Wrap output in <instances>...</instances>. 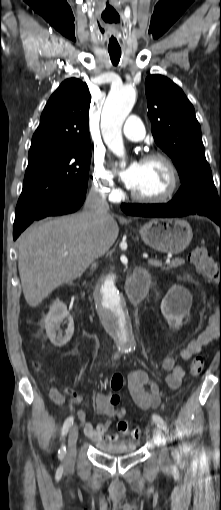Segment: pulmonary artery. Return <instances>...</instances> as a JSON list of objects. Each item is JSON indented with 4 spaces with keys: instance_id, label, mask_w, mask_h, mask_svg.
I'll return each mask as SVG.
<instances>
[{
    "instance_id": "pulmonary-artery-1",
    "label": "pulmonary artery",
    "mask_w": 221,
    "mask_h": 510,
    "mask_svg": "<svg viewBox=\"0 0 221 510\" xmlns=\"http://www.w3.org/2000/svg\"><path fill=\"white\" fill-rule=\"evenodd\" d=\"M123 134L126 138L132 141H140L145 136V128L139 117L131 115L127 118Z\"/></svg>"
}]
</instances>
